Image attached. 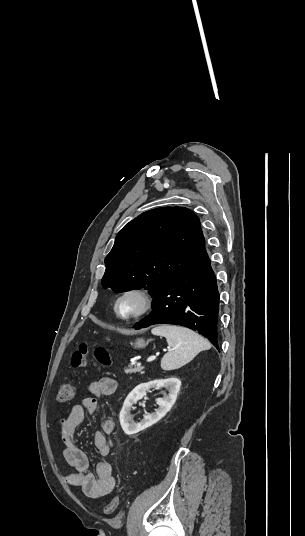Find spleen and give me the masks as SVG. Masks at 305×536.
I'll use <instances>...</instances> for the list:
<instances>
[{
  "label": "spleen",
  "instance_id": "3e777b00",
  "mask_svg": "<svg viewBox=\"0 0 305 536\" xmlns=\"http://www.w3.org/2000/svg\"><path fill=\"white\" fill-rule=\"evenodd\" d=\"M154 336H164L169 348H174L172 352H167L161 360V368L165 372L178 370L185 364H189L202 350H210L211 344L196 332L181 328V326H168L159 324L157 328L151 330Z\"/></svg>",
  "mask_w": 305,
  "mask_h": 536
}]
</instances>
